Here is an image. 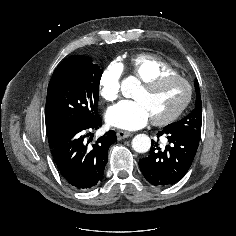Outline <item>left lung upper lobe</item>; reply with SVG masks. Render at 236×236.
<instances>
[{"label": "left lung upper lobe", "instance_id": "obj_1", "mask_svg": "<svg viewBox=\"0 0 236 236\" xmlns=\"http://www.w3.org/2000/svg\"><path fill=\"white\" fill-rule=\"evenodd\" d=\"M195 90H196V104L194 110H192V112L182 120L169 124L167 126L168 128L187 131L200 136L201 125H202V110H201L200 90L197 79L195 80Z\"/></svg>", "mask_w": 236, "mask_h": 236}]
</instances>
